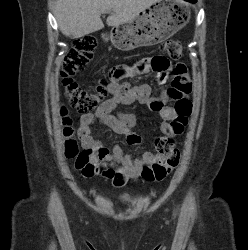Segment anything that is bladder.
<instances>
[{"label": "bladder", "instance_id": "1", "mask_svg": "<svg viewBox=\"0 0 248 250\" xmlns=\"http://www.w3.org/2000/svg\"><path fill=\"white\" fill-rule=\"evenodd\" d=\"M126 199H128V200H129V199H131V197H127Z\"/></svg>", "mask_w": 248, "mask_h": 250}]
</instances>
